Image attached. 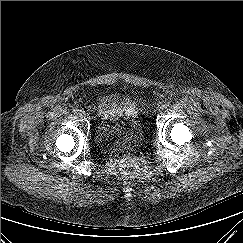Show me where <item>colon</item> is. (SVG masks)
Segmentation results:
<instances>
[{
  "label": "colon",
  "mask_w": 243,
  "mask_h": 243,
  "mask_svg": "<svg viewBox=\"0 0 243 243\" xmlns=\"http://www.w3.org/2000/svg\"><path fill=\"white\" fill-rule=\"evenodd\" d=\"M120 172L125 178L131 179L140 175L141 169L136 159L125 157L120 162Z\"/></svg>",
  "instance_id": "1"
}]
</instances>
